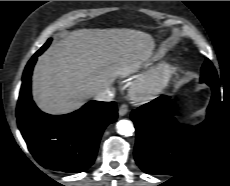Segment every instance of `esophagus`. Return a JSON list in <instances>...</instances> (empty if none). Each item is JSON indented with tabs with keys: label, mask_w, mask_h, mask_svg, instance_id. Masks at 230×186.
Segmentation results:
<instances>
[{
	"label": "esophagus",
	"mask_w": 230,
	"mask_h": 186,
	"mask_svg": "<svg viewBox=\"0 0 230 186\" xmlns=\"http://www.w3.org/2000/svg\"><path fill=\"white\" fill-rule=\"evenodd\" d=\"M129 109H128V106L126 104H122L120 107H119V115L120 116H124L128 113Z\"/></svg>",
	"instance_id": "obj_1"
}]
</instances>
